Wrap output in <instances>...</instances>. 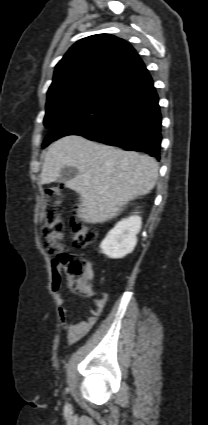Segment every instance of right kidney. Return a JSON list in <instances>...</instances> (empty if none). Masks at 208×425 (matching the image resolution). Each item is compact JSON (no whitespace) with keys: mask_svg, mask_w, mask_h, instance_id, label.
<instances>
[{"mask_svg":"<svg viewBox=\"0 0 208 425\" xmlns=\"http://www.w3.org/2000/svg\"><path fill=\"white\" fill-rule=\"evenodd\" d=\"M142 218L132 215L119 221L101 242L103 254L109 258L119 259L131 253L136 244V235L140 232Z\"/></svg>","mask_w":208,"mask_h":425,"instance_id":"1","label":"right kidney"}]
</instances>
